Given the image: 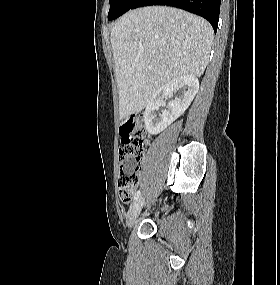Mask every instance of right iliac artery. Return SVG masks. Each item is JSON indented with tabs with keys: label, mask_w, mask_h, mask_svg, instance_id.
Returning a JSON list of instances; mask_svg holds the SVG:
<instances>
[{
	"label": "right iliac artery",
	"mask_w": 280,
	"mask_h": 285,
	"mask_svg": "<svg viewBox=\"0 0 280 285\" xmlns=\"http://www.w3.org/2000/svg\"><path fill=\"white\" fill-rule=\"evenodd\" d=\"M140 197V190H138L135 195H134V201H137L138 198Z\"/></svg>",
	"instance_id": "1"
}]
</instances>
